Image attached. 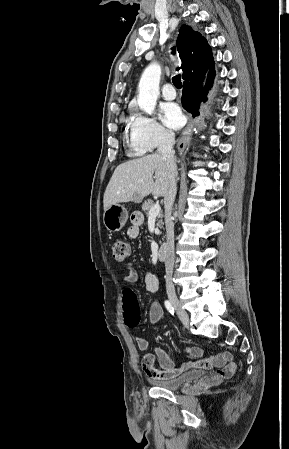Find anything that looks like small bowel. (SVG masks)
I'll return each instance as SVG.
<instances>
[{"label":"small bowel","instance_id":"1","mask_svg":"<svg viewBox=\"0 0 289 449\" xmlns=\"http://www.w3.org/2000/svg\"><path fill=\"white\" fill-rule=\"evenodd\" d=\"M132 225L128 229V237L131 240H136L139 236V226L142 222V218L139 215H133L131 218ZM138 279V274L133 266H128V273L123 278L125 285L124 292L129 289L128 286L134 284ZM145 288L149 292H156L159 287V281L157 276L148 272L144 279ZM162 307L158 302H154L149 310V323L156 324L162 317ZM136 328L135 326H130ZM137 347L145 352L142 357V367L150 378H174L190 369H210L217 368L216 374L219 378H229L236 371V363L233 361L232 354L228 351L222 353L204 356V352L200 347H189L185 349V352L195 357V360L184 362L177 366L169 356V354L162 348H156L155 353L147 352L149 349V343L146 339L137 336L135 338ZM156 362L158 366H156Z\"/></svg>","mask_w":289,"mask_h":449}]
</instances>
